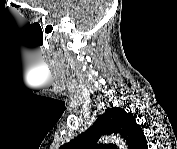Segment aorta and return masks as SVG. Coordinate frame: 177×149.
Masks as SVG:
<instances>
[{"instance_id": "762f6f07", "label": "aorta", "mask_w": 177, "mask_h": 149, "mask_svg": "<svg viewBox=\"0 0 177 149\" xmlns=\"http://www.w3.org/2000/svg\"><path fill=\"white\" fill-rule=\"evenodd\" d=\"M109 141H115L116 143H119L122 147H124V145H125L124 142L120 138H116L113 136H109V137H105V138L101 139V142H103V143H106Z\"/></svg>"}]
</instances>
